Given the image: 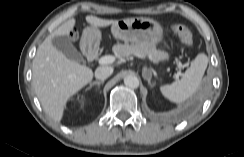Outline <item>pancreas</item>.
<instances>
[{
    "mask_svg": "<svg viewBox=\"0 0 244 157\" xmlns=\"http://www.w3.org/2000/svg\"><path fill=\"white\" fill-rule=\"evenodd\" d=\"M118 58H127L131 55L148 56L149 59L157 63L160 60L159 52L153 48L137 46L134 44H116L112 48Z\"/></svg>",
    "mask_w": 244,
    "mask_h": 157,
    "instance_id": "cf45deb5",
    "label": "pancreas"
}]
</instances>
